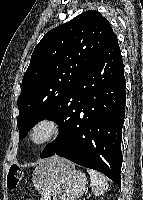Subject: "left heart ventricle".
I'll list each match as a JSON object with an SVG mask.
<instances>
[{"label": "left heart ventricle", "mask_w": 143, "mask_h": 200, "mask_svg": "<svg viewBox=\"0 0 143 200\" xmlns=\"http://www.w3.org/2000/svg\"><path fill=\"white\" fill-rule=\"evenodd\" d=\"M42 135H43V132H42V131L38 132L37 138H40Z\"/></svg>", "instance_id": "obj_1"}]
</instances>
